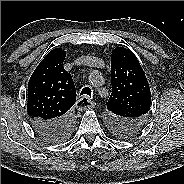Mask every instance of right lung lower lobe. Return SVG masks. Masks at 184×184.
<instances>
[{
  "mask_svg": "<svg viewBox=\"0 0 184 184\" xmlns=\"http://www.w3.org/2000/svg\"><path fill=\"white\" fill-rule=\"evenodd\" d=\"M34 130L44 138L50 139L65 132L74 124L72 115L69 114L61 119L54 121L31 120Z\"/></svg>",
  "mask_w": 184,
  "mask_h": 184,
  "instance_id": "right-lung-lower-lobe-1",
  "label": "right lung lower lobe"
}]
</instances>
